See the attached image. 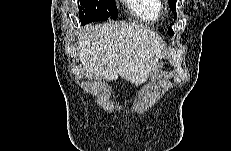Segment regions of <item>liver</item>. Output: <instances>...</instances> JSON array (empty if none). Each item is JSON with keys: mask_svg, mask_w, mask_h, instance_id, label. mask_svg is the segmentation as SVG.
<instances>
[{"mask_svg": "<svg viewBox=\"0 0 231 151\" xmlns=\"http://www.w3.org/2000/svg\"><path fill=\"white\" fill-rule=\"evenodd\" d=\"M79 36L83 69L106 81L120 75L138 86L163 57L158 35L147 26L110 22L86 26Z\"/></svg>", "mask_w": 231, "mask_h": 151, "instance_id": "liver-1", "label": "liver"}]
</instances>
